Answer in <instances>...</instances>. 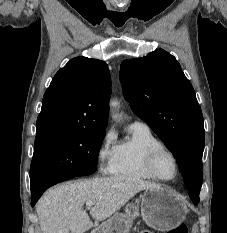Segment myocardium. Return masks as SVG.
<instances>
[{"label":"myocardium","mask_w":227,"mask_h":233,"mask_svg":"<svg viewBox=\"0 0 227 233\" xmlns=\"http://www.w3.org/2000/svg\"><path fill=\"white\" fill-rule=\"evenodd\" d=\"M162 154L169 155L174 162L175 173L171 178H164L157 171V166H156L157 159ZM145 167H146L148 173L154 179L159 180V181H163V182H170V181L175 180L177 178V176L179 175V170H180L179 169V161H178L177 156L175 155V153L173 151H171L170 149H168L164 146L152 148L151 150H149L147 152L146 157H145Z\"/></svg>","instance_id":"1"}]
</instances>
